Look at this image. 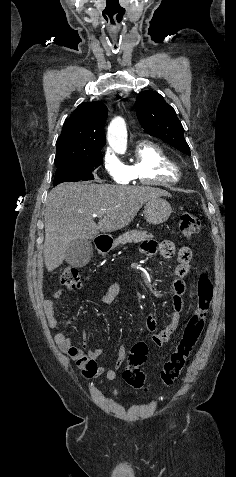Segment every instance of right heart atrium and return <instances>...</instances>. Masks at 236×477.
<instances>
[{
	"instance_id": "right-heart-atrium-1",
	"label": "right heart atrium",
	"mask_w": 236,
	"mask_h": 477,
	"mask_svg": "<svg viewBox=\"0 0 236 477\" xmlns=\"http://www.w3.org/2000/svg\"><path fill=\"white\" fill-rule=\"evenodd\" d=\"M103 167L112 180L119 184H127L131 179L127 166L123 164L110 150H107L104 154Z\"/></svg>"
}]
</instances>
